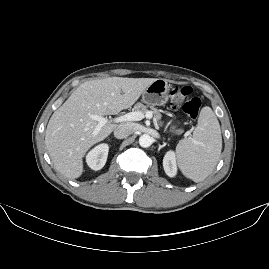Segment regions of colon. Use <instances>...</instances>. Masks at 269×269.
Instances as JSON below:
<instances>
[{
  "label": "colon",
  "mask_w": 269,
  "mask_h": 269,
  "mask_svg": "<svg viewBox=\"0 0 269 269\" xmlns=\"http://www.w3.org/2000/svg\"><path fill=\"white\" fill-rule=\"evenodd\" d=\"M170 107L173 110L183 109L192 119L199 115L202 105L201 99L194 95L189 86H174L169 93Z\"/></svg>",
  "instance_id": "1"
}]
</instances>
